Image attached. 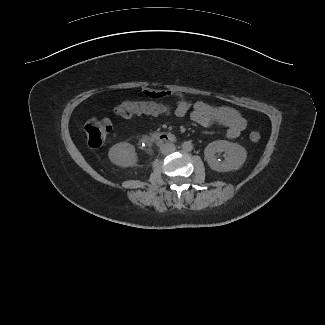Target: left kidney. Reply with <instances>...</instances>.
I'll use <instances>...</instances> for the list:
<instances>
[{
	"instance_id": "1",
	"label": "left kidney",
	"mask_w": 325,
	"mask_h": 325,
	"mask_svg": "<svg viewBox=\"0 0 325 325\" xmlns=\"http://www.w3.org/2000/svg\"><path fill=\"white\" fill-rule=\"evenodd\" d=\"M216 153H224V160L219 161ZM204 155L210 168L217 172H229L238 170L244 164L247 152L237 143L226 140H217L209 143Z\"/></svg>"
}]
</instances>
